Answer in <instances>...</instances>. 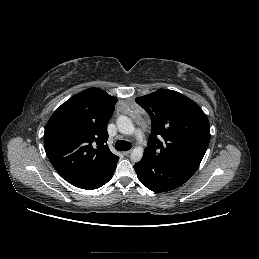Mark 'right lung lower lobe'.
Instances as JSON below:
<instances>
[{"label":"right lung lower lobe","instance_id":"obj_1","mask_svg":"<svg viewBox=\"0 0 259 259\" xmlns=\"http://www.w3.org/2000/svg\"><path fill=\"white\" fill-rule=\"evenodd\" d=\"M115 168H113L108 174H106L105 176H103L102 178L100 179H97L91 183H88V184H85L83 186H79V188L81 189H87V190H92V189H97L101 186H103L104 184H106L108 181L111 180L114 172H115Z\"/></svg>","mask_w":259,"mask_h":259}]
</instances>
